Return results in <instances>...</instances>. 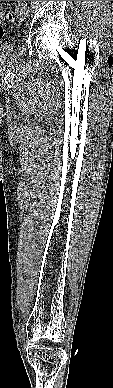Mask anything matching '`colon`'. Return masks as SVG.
<instances>
[{
    "label": "colon",
    "mask_w": 113,
    "mask_h": 388,
    "mask_svg": "<svg viewBox=\"0 0 113 388\" xmlns=\"http://www.w3.org/2000/svg\"><path fill=\"white\" fill-rule=\"evenodd\" d=\"M5 19L9 22L14 20V15L13 14H7ZM5 33L4 27L0 24V37H2Z\"/></svg>",
    "instance_id": "obj_1"
}]
</instances>
